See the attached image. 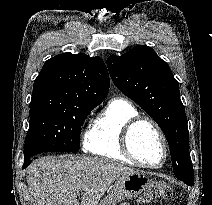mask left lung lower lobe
<instances>
[{
	"instance_id": "left-lung-lower-lobe-1",
	"label": "left lung lower lobe",
	"mask_w": 212,
	"mask_h": 205,
	"mask_svg": "<svg viewBox=\"0 0 212 205\" xmlns=\"http://www.w3.org/2000/svg\"><path fill=\"white\" fill-rule=\"evenodd\" d=\"M183 182L186 183L189 186H193L194 185V182H187V181H183Z\"/></svg>"
}]
</instances>
